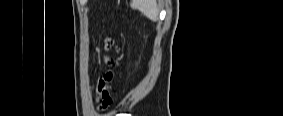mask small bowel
<instances>
[{
    "instance_id": "small-bowel-1",
    "label": "small bowel",
    "mask_w": 283,
    "mask_h": 116,
    "mask_svg": "<svg viewBox=\"0 0 283 116\" xmlns=\"http://www.w3.org/2000/svg\"><path fill=\"white\" fill-rule=\"evenodd\" d=\"M108 83L102 81V77L98 80V83L95 87V91L97 93V99L99 102H102L104 98H109L110 95L108 93ZM111 98V97H110Z\"/></svg>"
}]
</instances>
